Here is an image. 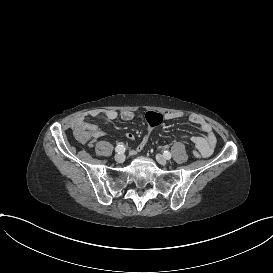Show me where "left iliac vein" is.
Listing matches in <instances>:
<instances>
[{
    "label": "left iliac vein",
    "mask_w": 273,
    "mask_h": 273,
    "mask_svg": "<svg viewBox=\"0 0 273 273\" xmlns=\"http://www.w3.org/2000/svg\"><path fill=\"white\" fill-rule=\"evenodd\" d=\"M156 159L161 165H166L167 163V159L161 154H157Z\"/></svg>",
    "instance_id": "left-iliac-vein-1"
}]
</instances>
